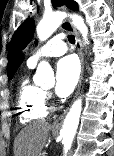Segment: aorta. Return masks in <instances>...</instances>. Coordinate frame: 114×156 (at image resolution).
Returning a JSON list of instances; mask_svg holds the SVG:
<instances>
[{
	"mask_svg": "<svg viewBox=\"0 0 114 156\" xmlns=\"http://www.w3.org/2000/svg\"><path fill=\"white\" fill-rule=\"evenodd\" d=\"M70 16L72 18L73 24L82 34L85 43L88 44V29L84 23V19L76 14ZM65 17L66 14L63 12H55L43 17L36 29L38 38L41 41H45L46 39H48L53 34V32L59 27V25L62 23ZM34 80L37 84L54 82L53 71L47 62L43 61L38 65ZM81 110L82 100L81 98H79L73 103L70 111L68 112L64 120L63 127L61 129L62 143L64 146V156H67V153L71 147L73 138L75 136L79 124Z\"/></svg>",
	"mask_w": 114,
	"mask_h": 156,
	"instance_id": "762f6f07",
	"label": "aorta"
}]
</instances>
